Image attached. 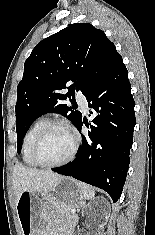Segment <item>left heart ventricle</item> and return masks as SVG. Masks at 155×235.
<instances>
[{
  "mask_svg": "<svg viewBox=\"0 0 155 235\" xmlns=\"http://www.w3.org/2000/svg\"><path fill=\"white\" fill-rule=\"evenodd\" d=\"M73 145V139L68 131L62 128L51 130L39 148V157L47 163H55L65 159Z\"/></svg>",
  "mask_w": 155,
  "mask_h": 235,
  "instance_id": "obj_1",
  "label": "left heart ventricle"
}]
</instances>
